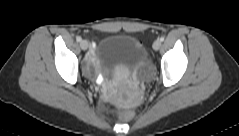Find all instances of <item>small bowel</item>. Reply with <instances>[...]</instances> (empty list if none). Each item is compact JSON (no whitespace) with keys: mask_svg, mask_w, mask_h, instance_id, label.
Returning a JSON list of instances; mask_svg holds the SVG:
<instances>
[{"mask_svg":"<svg viewBox=\"0 0 239 136\" xmlns=\"http://www.w3.org/2000/svg\"><path fill=\"white\" fill-rule=\"evenodd\" d=\"M93 61H94V57H93V55L92 56H90L89 58H88V65H90L91 63H93Z\"/></svg>","mask_w":239,"mask_h":136,"instance_id":"obj_1","label":"small bowel"}]
</instances>
